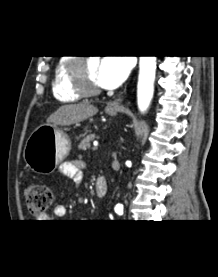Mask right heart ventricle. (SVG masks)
Instances as JSON below:
<instances>
[{"mask_svg":"<svg viewBox=\"0 0 218 277\" xmlns=\"http://www.w3.org/2000/svg\"><path fill=\"white\" fill-rule=\"evenodd\" d=\"M72 57H62L55 64L52 78V93L60 102H75L80 95L72 88L69 66L73 62Z\"/></svg>","mask_w":218,"mask_h":277,"instance_id":"right-heart-ventricle-1","label":"right heart ventricle"}]
</instances>
